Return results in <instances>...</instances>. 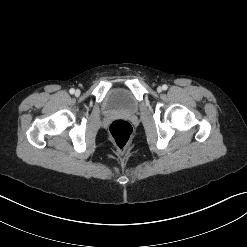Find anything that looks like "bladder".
Segmentation results:
<instances>
[{
	"label": "bladder",
	"mask_w": 247,
	"mask_h": 247,
	"mask_svg": "<svg viewBox=\"0 0 247 247\" xmlns=\"http://www.w3.org/2000/svg\"><path fill=\"white\" fill-rule=\"evenodd\" d=\"M105 109L109 112L132 113L137 109V101L129 90L115 88L106 97Z\"/></svg>",
	"instance_id": "31cf9c89"
}]
</instances>
